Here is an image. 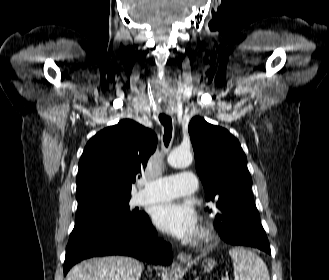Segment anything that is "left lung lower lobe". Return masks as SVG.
I'll return each instance as SVG.
<instances>
[{"label": "left lung lower lobe", "mask_w": 329, "mask_h": 280, "mask_svg": "<svg viewBox=\"0 0 329 280\" xmlns=\"http://www.w3.org/2000/svg\"><path fill=\"white\" fill-rule=\"evenodd\" d=\"M219 232L222 239L229 244L251 246L271 254L259 212L252 200L241 205L228 217Z\"/></svg>", "instance_id": "1"}]
</instances>
